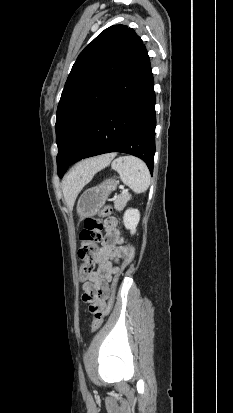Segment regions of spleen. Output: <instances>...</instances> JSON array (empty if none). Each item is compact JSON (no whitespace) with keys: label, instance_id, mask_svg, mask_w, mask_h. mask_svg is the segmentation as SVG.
<instances>
[{"label":"spleen","instance_id":"3e777b00","mask_svg":"<svg viewBox=\"0 0 233 413\" xmlns=\"http://www.w3.org/2000/svg\"><path fill=\"white\" fill-rule=\"evenodd\" d=\"M111 167L116 170L121 181L129 186L133 192H145L150 185V172L146 164L134 156L116 158Z\"/></svg>","mask_w":233,"mask_h":413}]
</instances>
